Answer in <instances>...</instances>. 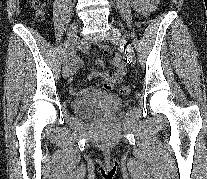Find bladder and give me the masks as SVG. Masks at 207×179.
Segmentation results:
<instances>
[{
    "label": "bladder",
    "mask_w": 207,
    "mask_h": 179,
    "mask_svg": "<svg viewBox=\"0 0 207 179\" xmlns=\"http://www.w3.org/2000/svg\"><path fill=\"white\" fill-rule=\"evenodd\" d=\"M123 105L124 101L105 92H93L76 98L72 102V108L75 113L89 118L103 113H115Z\"/></svg>",
    "instance_id": "1"
}]
</instances>
